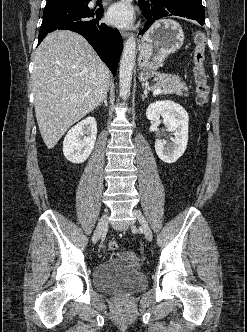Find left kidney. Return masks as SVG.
Returning <instances> with one entry per match:
<instances>
[{
	"label": "left kidney",
	"instance_id": "1",
	"mask_svg": "<svg viewBox=\"0 0 247 332\" xmlns=\"http://www.w3.org/2000/svg\"><path fill=\"white\" fill-rule=\"evenodd\" d=\"M146 117L151 121L163 123L167 131L173 135L172 142L166 145L161 139H156L155 150L158 157L165 163L176 162L185 152L188 142L189 116L186 110L179 104L170 101H156L150 104L146 110Z\"/></svg>",
	"mask_w": 247,
	"mask_h": 332
}]
</instances>
